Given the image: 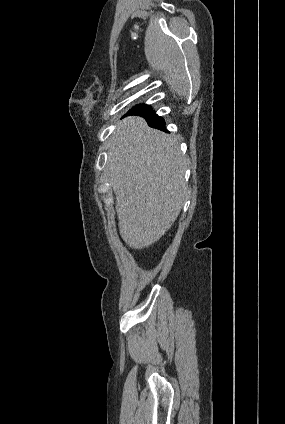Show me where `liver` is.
<instances>
[{
  "instance_id": "obj_1",
  "label": "liver",
  "mask_w": 285,
  "mask_h": 424,
  "mask_svg": "<svg viewBox=\"0 0 285 424\" xmlns=\"http://www.w3.org/2000/svg\"><path fill=\"white\" fill-rule=\"evenodd\" d=\"M107 170L121 238L135 249L152 245L173 225L187 194L177 137L127 117L108 140Z\"/></svg>"
}]
</instances>
